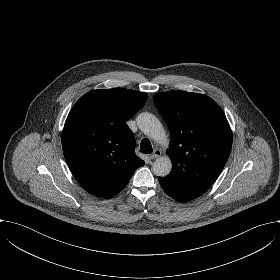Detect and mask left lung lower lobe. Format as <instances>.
I'll use <instances>...</instances> for the list:
<instances>
[{"instance_id":"obj_1","label":"left lung lower lobe","mask_w":280,"mask_h":280,"mask_svg":"<svg viewBox=\"0 0 280 280\" xmlns=\"http://www.w3.org/2000/svg\"><path fill=\"white\" fill-rule=\"evenodd\" d=\"M161 186L162 188L164 189V191L170 196L172 197L173 199H175L176 201L178 202H188L190 200H193L199 196H192V197H189V196H181V195H177V194H174V193H171V188L169 186H166L164 184L161 183Z\"/></svg>"}]
</instances>
